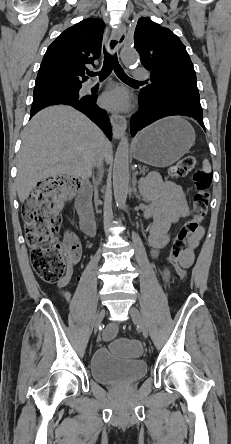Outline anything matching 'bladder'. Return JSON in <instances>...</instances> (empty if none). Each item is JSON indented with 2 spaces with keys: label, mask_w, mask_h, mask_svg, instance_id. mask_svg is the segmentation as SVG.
Wrapping results in <instances>:
<instances>
[{
  "label": "bladder",
  "mask_w": 231,
  "mask_h": 444,
  "mask_svg": "<svg viewBox=\"0 0 231 444\" xmlns=\"http://www.w3.org/2000/svg\"><path fill=\"white\" fill-rule=\"evenodd\" d=\"M147 372V364L140 359H121L109 349L96 350L90 359V373L93 379L102 384H127L142 378Z\"/></svg>",
  "instance_id": "31cf9c89"
}]
</instances>
